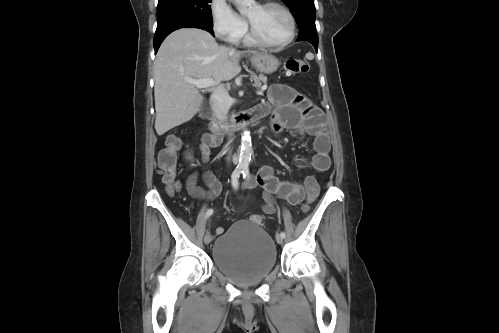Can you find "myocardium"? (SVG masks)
<instances>
[{"instance_id":"1","label":"myocardium","mask_w":499,"mask_h":333,"mask_svg":"<svg viewBox=\"0 0 499 333\" xmlns=\"http://www.w3.org/2000/svg\"><path fill=\"white\" fill-rule=\"evenodd\" d=\"M263 8L276 7L281 9L288 17L290 22V31L288 37L280 42H270L265 40L255 29L252 23L248 20V35L250 38L258 45L270 48H282L289 45L295 38L296 35V20L292 11L283 3L278 1L267 0L259 4Z\"/></svg>"}]
</instances>
